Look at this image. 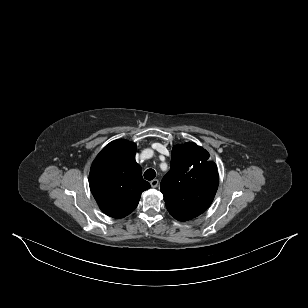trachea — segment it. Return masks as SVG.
Listing matches in <instances>:
<instances>
[{
    "instance_id": "1",
    "label": "trachea",
    "mask_w": 308,
    "mask_h": 308,
    "mask_svg": "<svg viewBox=\"0 0 308 308\" xmlns=\"http://www.w3.org/2000/svg\"><path fill=\"white\" fill-rule=\"evenodd\" d=\"M156 176V172L153 170V169H147L145 172H144V178L146 180H152L154 179Z\"/></svg>"
}]
</instances>
